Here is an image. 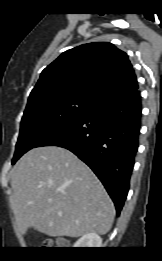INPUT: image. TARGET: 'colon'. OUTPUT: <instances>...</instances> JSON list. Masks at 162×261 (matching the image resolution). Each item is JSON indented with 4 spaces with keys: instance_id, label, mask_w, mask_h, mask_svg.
<instances>
[{
    "instance_id": "colon-1",
    "label": "colon",
    "mask_w": 162,
    "mask_h": 261,
    "mask_svg": "<svg viewBox=\"0 0 162 261\" xmlns=\"http://www.w3.org/2000/svg\"><path fill=\"white\" fill-rule=\"evenodd\" d=\"M63 245V243H60V242H57L56 244H55V246H57V247H60V246H62Z\"/></svg>"
}]
</instances>
